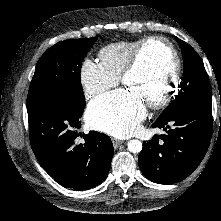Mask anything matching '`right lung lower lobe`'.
<instances>
[{
	"label": "right lung lower lobe",
	"mask_w": 221,
	"mask_h": 221,
	"mask_svg": "<svg viewBox=\"0 0 221 221\" xmlns=\"http://www.w3.org/2000/svg\"><path fill=\"white\" fill-rule=\"evenodd\" d=\"M83 110L67 98H56L28 111L30 143L39 163L59 184L78 191L105 180L114 154L103 133L90 131L83 134L84 143H77L74 129L81 127Z\"/></svg>",
	"instance_id": "obj_1"
}]
</instances>
